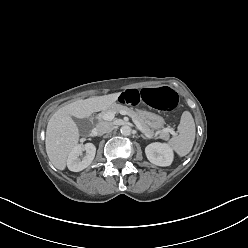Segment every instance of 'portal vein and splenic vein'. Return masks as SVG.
<instances>
[{
    "label": "portal vein and splenic vein",
    "mask_w": 248,
    "mask_h": 248,
    "mask_svg": "<svg viewBox=\"0 0 248 248\" xmlns=\"http://www.w3.org/2000/svg\"><path fill=\"white\" fill-rule=\"evenodd\" d=\"M120 114L122 115H128L125 111H120ZM115 113L113 112H107L104 115H102V119L106 121H112L114 119ZM134 124L137 126V128L140 129L141 132H145L144 129L141 127L138 121L133 119ZM160 135L163 133H171L172 135H176V132L170 128H164L158 132Z\"/></svg>",
    "instance_id": "18ae733b"
}]
</instances>
